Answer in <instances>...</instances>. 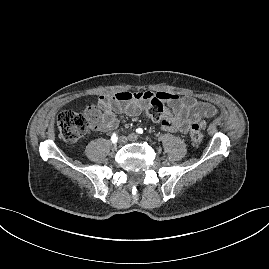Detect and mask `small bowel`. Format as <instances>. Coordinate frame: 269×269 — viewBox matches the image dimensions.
Here are the masks:
<instances>
[{
	"label": "small bowel",
	"mask_w": 269,
	"mask_h": 269,
	"mask_svg": "<svg viewBox=\"0 0 269 269\" xmlns=\"http://www.w3.org/2000/svg\"><path fill=\"white\" fill-rule=\"evenodd\" d=\"M154 97L161 98L171 108L167 118L153 119L160 124L164 131L186 134L194 123H199L205 128V119L211 118L217 113L215 106L194 97H180L170 93L154 94L145 91H125L101 95L97 105L90 108V111L96 115V127L101 131H109L118 126L116 114L137 115L147 107Z\"/></svg>",
	"instance_id": "1"
}]
</instances>
